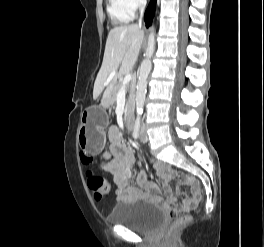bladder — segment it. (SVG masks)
Returning <instances> with one entry per match:
<instances>
[{"label":"bladder","instance_id":"obj_1","mask_svg":"<svg viewBox=\"0 0 264 247\" xmlns=\"http://www.w3.org/2000/svg\"><path fill=\"white\" fill-rule=\"evenodd\" d=\"M108 218L136 232L151 233L164 225L166 215L164 210L156 205L136 200L115 205Z\"/></svg>","mask_w":264,"mask_h":247}]
</instances>
